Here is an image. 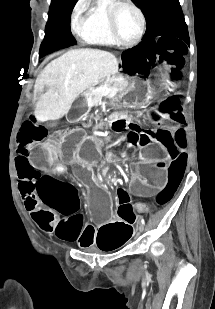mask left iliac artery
Listing matches in <instances>:
<instances>
[{
    "instance_id": "44dca946",
    "label": "left iliac artery",
    "mask_w": 215,
    "mask_h": 309,
    "mask_svg": "<svg viewBox=\"0 0 215 309\" xmlns=\"http://www.w3.org/2000/svg\"><path fill=\"white\" fill-rule=\"evenodd\" d=\"M141 222H142L143 224H145V221H144V219H141Z\"/></svg>"
}]
</instances>
